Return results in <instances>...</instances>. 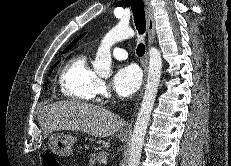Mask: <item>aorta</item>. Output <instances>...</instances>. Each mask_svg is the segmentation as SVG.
I'll use <instances>...</instances> for the list:
<instances>
[{"instance_id": "1", "label": "aorta", "mask_w": 231, "mask_h": 166, "mask_svg": "<svg viewBox=\"0 0 231 166\" xmlns=\"http://www.w3.org/2000/svg\"><path fill=\"white\" fill-rule=\"evenodd\" d=\"M134 30L128 25L119 23L102 39L97 50L93 68L101 77L111 74V47L122 40L134 37ZM162 73V58L158 49H149V71L141 107L131 136L128 166H139L146 130L150 120L154 101Z\"/></svg>"}]
</instances>
